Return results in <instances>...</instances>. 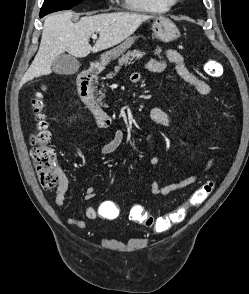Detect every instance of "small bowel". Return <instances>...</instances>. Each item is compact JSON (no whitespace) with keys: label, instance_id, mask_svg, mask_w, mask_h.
Here are the masks:
<instances>
[{"label":"small bowel","instance_id":"obj_1","mask_svg":"<svg viewBox=\"0 0 249 294\" xmlns=\"http://www.w3.org/2000/svg\"><path fill=\"white\" fill-rule=\"evenodd\" d=\"M165 60H169L175 67L177 74L189 85L193 86L196 91L202 95L207 96L211 92L210 86L198 77L188 66L183 56L174 49H161L157 48L155 50V57L148 62H146L145 67L154 72H161L165 67ZM141 78L140 73L135 72L131 75L132 82H138ZM150 118L157 124L169 128L171 126V120L169 116L159 107H154L150 110ZM106 123L96 120V125L93 132L97 138H99V130L108 128ZM125 135L122 130H117L110 141L100 142L99 150L103 155H110L116 152L124 141ZM214 163V158H210L205 165L203 171H208ZM160 165V160L157 157L150 159V166L152 168H157ZM64 176V175H63ZM198 180L197 175H192L186 177L182 180L171 182L166 185H161L155 178L151 183V193L154 196H165L175 191H180L188 186L194 184ZM69 190V181L67 177L64 176L62 184L57 188L55 195V203L58 207H63L66 201V194ZM96 195V188L94 186H88L85 189L84 199L89 201L93 199ZM112 209L118 210L115 204L111 201H101L97 206L89 205L85 209V215L89 220H97L99 218L103 219H115L110 216V211ZM118 217V216H117ZM116 217V218H117ZM69 224L79 228L85 229L87 224L84 220L69 216L67 218Z\"/></svg>","mask_w":249,"mask_h":294}]
</instances>
